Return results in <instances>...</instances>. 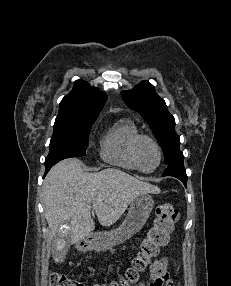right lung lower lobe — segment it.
<instances>
[{
  "label": "right lung lower lobe",
  "instance_id": "right-lung-lower-lobe-1",
  "mask_svg": "<svg viewBox=\"0 0 231 286\" xmlns=\"http://www.w3.org/2000/svg\"><path fill=\"white\" fill-rule=\"evenodd\" d=\"M54 165V163H47L45 164V168H46V171H45V175L47 174V172L50 170V168Z\"/></svg>",
  "mask_w": 231,
  "mask_h": 286
}]
</instances>
